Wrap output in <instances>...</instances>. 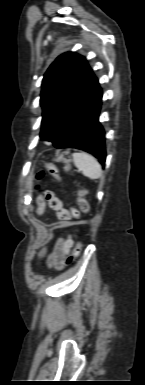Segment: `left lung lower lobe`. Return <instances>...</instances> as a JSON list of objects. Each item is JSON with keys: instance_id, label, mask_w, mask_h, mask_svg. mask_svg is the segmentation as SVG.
<instances>
[{"instance_id": "obj_1", "label": "left lung lower lobe", "mask_w": 145, "mask_h": 385, "mask_svg": "<svg viewBox=\"0 0 145 385\" xmlns=\"http://www.w3.org/2000/svg\"><path fill=\"white\" fill-rule=\"evenodd\" d=\"M102 91L94 76L89 88L62 120L50 142L56 148H79L105 163L104 130L98 121Z\"/></svg>"}]
</instances>
